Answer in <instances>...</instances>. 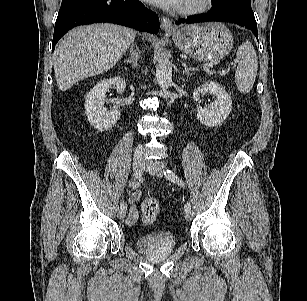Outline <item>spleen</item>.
<instances>
[{
  "mask_svg": "<svg viewBox=\"0 0 307 301\" xmlns=\"http://www.w3.org/2000/svg\"><path fill=\"white\" fill-rule=\"evenodd\" d=\"M238 67L235 73V82L242 94L248 93L255 82L258 62L256 51L249 41L243 42L237 50Z\"/></svg>",
  "mask_w": 307,
  "mask_h": 301,
  "instance_id": "3e777b00",
  "label": "spleen"
}]
</instances>
